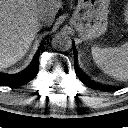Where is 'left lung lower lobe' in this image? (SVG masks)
I'll list each match as a JSON object with an SVG mask.
<instances>
[{
    "mask_svg": "<svg viewBox=\"0 0 128 128\" xmlns=\"http://www.w3.org/2000/svg\"><path fill=\"white\" fill-rule=\"evenodd\" d=\"M74 61H75V72H76V75L78 76V78H79L86 86H88L89 88H93V89L107 90V91L110 90V88H107V87H104V86H100V85L94 84L93 82L89 81L88 78H87L86 76H84V75L78 70V67H77V59H76L75 54H74Z\"/></svg>",
    "mask_w": 128,
    "mask_h": 128,
    "instance_id": "1",
    "label": "left lung lower lobe"
}]
</instances>
